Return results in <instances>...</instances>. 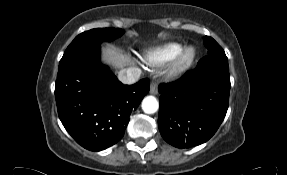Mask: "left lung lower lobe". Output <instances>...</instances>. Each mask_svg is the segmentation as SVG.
Listing matches in <instances>:
<instances>
[{"label":"left lung lower lobe","instance_id":"1","mask_svg":"<svg viewBox=\"0 0 287 175\" xmlns=\"http://www.w3.org/2000/svg\"><path fill=\"white\" fill-rule=\"evenodd\" d=\"M230 88L229 73L196 68L161 84L158 125L164 140L177 148L208 141L224 120Z\"/></svg>","mask_w":287,"mask_h":175}]
</instances>
